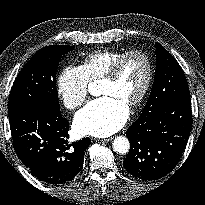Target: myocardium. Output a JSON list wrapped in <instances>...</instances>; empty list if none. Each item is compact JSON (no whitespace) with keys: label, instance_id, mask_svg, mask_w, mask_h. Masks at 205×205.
I'll list each match as a JSON object with an SVG mask.
<instances>
[{"label":"myocardium","instance_id":"myocardium-1","mask_svg":"<svg viewBox=\"0 0 205 205\" xmlns=\"http://www.w3.org/2000/svg\"><path fill=\"white\" fill-rule=\"evenodd\" d=\"M131 56H140L145 60L147 64V75L140 93L134 100L127 104L130 107L140 104L150 89L154 74V67L151 57L146 52L141 50L127 51L113 63L108 72L101 78V81H114L118 77L123 63Z\"/></svg>","mask_w":205,"mask_h":205}]
</instances>
